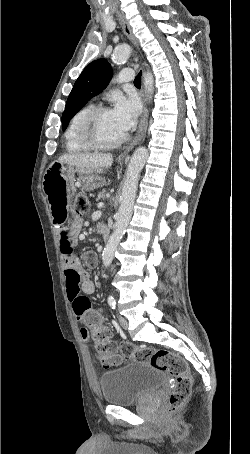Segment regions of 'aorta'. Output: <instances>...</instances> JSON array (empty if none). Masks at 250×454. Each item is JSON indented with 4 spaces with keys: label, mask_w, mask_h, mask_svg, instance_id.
Listing matches in <instances>:
<instances>
[{
    "label": "aorta",
    "mask_w": 250,
    "mask_h": 454,
    "mask_svg": "<svg viewBox=\"0 0 250 454\" xmlns=\"http://www.w3.org/2000/svg\"><path fill=\"white\" fill-rule=\"evenodd\" d=\"M131 46L128 44L119 45L114 53L113 60L115 63L125 62L130 53ZM144 86L151 98L154 90V79L151 72L144 75ZM148 150L145 147L137 148L128 164L124 185L121 192V204L116 214L115 229L112 232L102 253L103 265L107 268L111 265L115 251L126 232L127 226L133 213L134 201L137 193V186L140 173L147 161Z\"/></svg>",
    "instance_id": "1"
}]
</instances>
